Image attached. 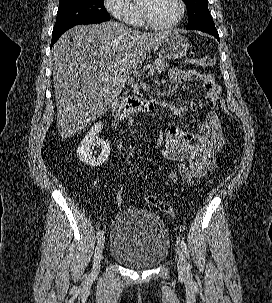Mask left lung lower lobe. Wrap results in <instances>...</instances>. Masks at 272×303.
I'll return each mask as SVG.
<instances>
[{
	"instance_id": "0a47b994",
	"label": "left lung lower lobe",
	"mask_w": 272,
	"mask_h": 303,
	"mask_svg": "<svg viewBox=\"0 0 272 303\" xmlns=\"http://www.w3.org/2000/svg\"><path fill=\"white\" fill-rule=\"evenodd\" d=\"M197 30L206 32V33L214 36L220 42L219 35H218V32L215 27L201 28V29H197Z\"/></svg>"
}]
</instances>
